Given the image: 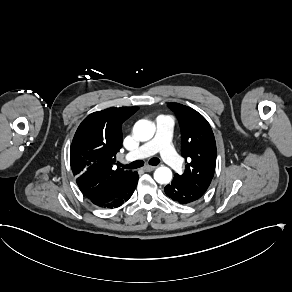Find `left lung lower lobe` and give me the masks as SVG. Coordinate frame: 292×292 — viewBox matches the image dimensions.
Returning a JSON list of instances; mask_svg holds the SVG:
<instances>
[{
  "label": "left lung lower lobe",
  "instance_id": "obj_1",
  "mask_svg": "<svg viewBox=\"0 0 292 292\" xmlns=\"http://www.w3.org/2000/svg\"><path fill=\"white\" fill-rule=\"evenodd\" d=\"M165 193L169 198L180 204L193 203L204 195L203 192L189 188L174 179L171 184L165 187Z\"/></svg>",
  "mask_w": 292,
  "mask_h": 292
}]
</instances>
